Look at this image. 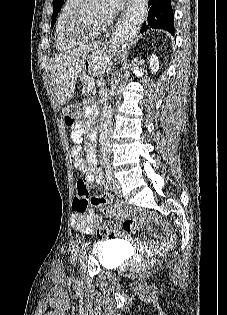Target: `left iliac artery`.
Returning a JSON list of instances; mask_svg holds the SVG:
<instances>
[{
    "label": "left iliac artery",
    "instance_id": "obj_1",
    "mask_svg": "<svg viewBox=\"0 0 227 315\" xmlns=\"http://www.w3.org/2000/svg\"><path fill=\"white\" fill-rule=\"evenodd\" d=\"M106 178L109 183L114 182V176L111 170L106 171ZM77 251H78V244L73 246L72 251H71V264L74 266L75 261L77 259Z\"/></svg>",
    "mask_w": 227,
    "mask_h": 315
}]
</instances>
